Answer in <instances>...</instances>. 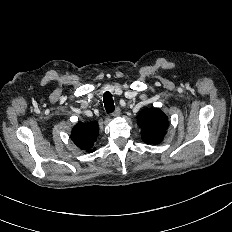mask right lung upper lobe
Wrapping results in <instances>:
<instances>
[{"label": "right lung upper lobe", "instance_id": "1", "mask_svg": "<svg viewBox=\"0 0 232 232\" xmlns=\"http://www.w3.org/2000/svg\"><path fill=\"white\" fill-rule=\"evenodd\" d=\"M98 136L97 122H78L72 129L71 138L77 147L87 152L95 150L94 143Z\"/></svg>", "mask_w": 232, "mask_h": 232}]
</instances>
